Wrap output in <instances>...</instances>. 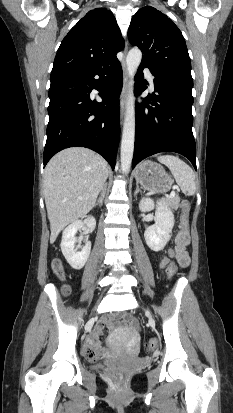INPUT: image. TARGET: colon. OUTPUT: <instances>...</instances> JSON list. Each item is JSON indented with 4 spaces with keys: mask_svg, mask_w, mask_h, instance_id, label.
Returning <instances> with one entry per match:
<instances>
[{
    "mask_svg": "<svg viewBox=\"0 0 233 413\" xmlns=\"http://www.w3.org/2000/svg\"><path fill=\"white\" fill-rule=\"evenodd\" d=\"M180 209H181V216H180V232L185 235L188 236V231H189V209H190V204L188 201L184 200L181 202L180 205ZM53 268L55 273L58 276H63V269L62 266L60 264L59 261H55L53 264ZM176 271V265L175 263H171L169 265V267L167 268V273L170 277H172L174 275ZM64 292L68 293L69 292V288L67 286L64 287ZM157 347V343L155 340H150L147 343V350L149 352H152L155 350V348ZM90 358H92V356H89ZM94 358V357H93ZM112 377L115 381H120L123 377L122 372H114L112 374Z\"/></svg>",
    "mask_w": 233,
    "mask_h": 413,
    "instance_id": "5ec220e1",
    "label": "colon"
}]
</instances>
